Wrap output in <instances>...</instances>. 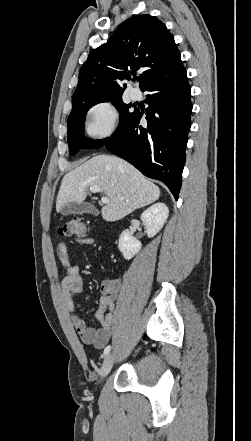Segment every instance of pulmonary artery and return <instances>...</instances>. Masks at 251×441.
<instances>
[{"label": "pulmonary artery", "mask_w": 251, "mask_h": 441, "mask_svg": "<svg viewBox=\"0 0 251 441\" xmlns=\"http://www.w3.org/2000/svg\"><path fill=\"white\" fill-rule=\"evenodd\" d=\"M129 95L131 99L134 101L139 100L141 98V92L136 88H132L129 92Z\"/></svg>", "instance_id": "e3ab8cb5"}]
</instances>
